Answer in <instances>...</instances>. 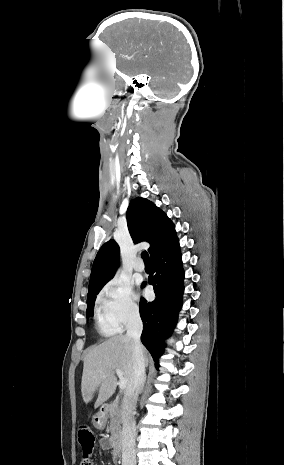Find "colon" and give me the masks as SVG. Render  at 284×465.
I'll return each mask as SVG.
<instances>
[{"label":"colon","instance_id":"obj_1","mask_svg":"<svg viewBox=\"0 0 284 465\" xmlns=\"http://www.w3.org/2000/svg\"><path fill=\"white\" fill-rule=\"evenodd\" d=\"M78 437L81 446L82 457L84 460H89L92 456V451L95 444V436L88 426H82L78 429Z\"/></svg>","mask_w":284,"mask_h":465}]
</instances>
